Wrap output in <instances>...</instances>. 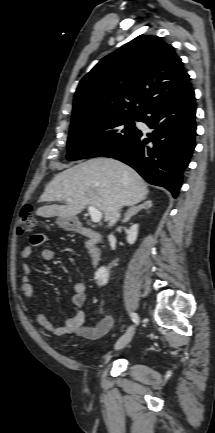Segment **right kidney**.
Listing matches in <instances>:
<instances>
[{
	"label": "right kidney",
	"mask_w": 215,
	"mask_h": 433,
	"mask_svg": "<svg viewBox=\"0 0 215 433\" xmlns=\"http://www.w3.org/2000/svg\"><path fill=\"white\" fill-rule=\"evenodd\" d=\"M138 235V224H134L130 227L127 234V242L134 244ZM109 272L106 267H100L95 273V279L100 282V285H105L108 282Z\"/></svg>",
	"instance_id": "right-kidney-1"
}]
</instances>
